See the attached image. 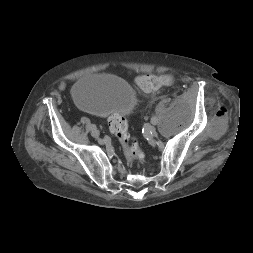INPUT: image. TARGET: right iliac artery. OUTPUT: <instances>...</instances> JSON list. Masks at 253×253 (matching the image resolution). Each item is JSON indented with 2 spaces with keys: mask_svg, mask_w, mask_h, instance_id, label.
Returning a JSON list of instances; mask_svg holds the SVG:
<instances>
[{
  "mask_svg": "<svg viewBox=\"0 0 253 253\" xmlns=\"http://www.w3.org/2000/svg\"><path fill=\"white\" fill-rule=\"evenodd\" d=\"M88 127H89V129H90V130H93V129H95V128H96V126H95V125H93V124H89V126H88Z\"/></svg>",
  "mask_w": 253,
  "mask_h": 253,
  "instance_id": "82829eb1",
  "label": "right iliac artery"
}]
</instances>
